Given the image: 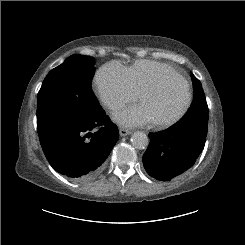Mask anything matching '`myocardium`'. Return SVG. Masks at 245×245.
Masks as SVG:
<instances>
[{
  "instance_id": "1",
  "label": "myocardium",
  "mask_w": 245,
  "mask_h": 245,
  "mask_svg": "<svg viewBox=\"0 0 245 245\" xmlns=\"http://www.w3.org/2000/svg\"><path fill=\"white\" fill-rule=\"evenodd\" d=\"M169 75H174L183 81L187 90V101L183 109L175 116L163 121H154L153 125L159 129H166L178 123L187 114L193 102V91L189 80L176 69H170L168 71L160 73L153 83L145 87L138 94V99L140 100L143 96L158 91L160 88L161 80Z\"/></svg>"
}]
</instances>
